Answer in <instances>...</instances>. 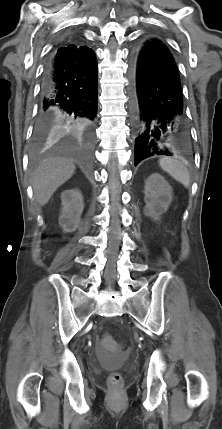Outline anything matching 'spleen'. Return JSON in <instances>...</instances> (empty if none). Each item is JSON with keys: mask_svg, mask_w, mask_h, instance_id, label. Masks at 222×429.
<instances>
[{"mask_svg": "<svg viewBox=\"0 0 222 429\" xmlns=\"http://www.w3.org/2000/svg\"><path fill=\"white\" fill-rule=\"evenodd\" d=\"M160 167L170 174L175 180L183 184L186 188L190 185V174L188 169L178 160L163 157L159 160Z\"/></svg>", "mask_w": 222, "mask_h": 429, "instance_id": "1", "label": "spleen"}]
</instances>
